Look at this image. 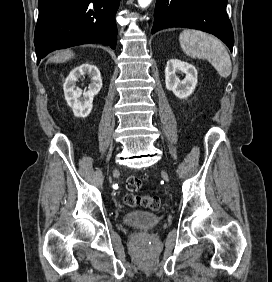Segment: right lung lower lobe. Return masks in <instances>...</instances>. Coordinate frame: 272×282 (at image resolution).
<instances>
[{
    "instance_id": "obj_1",
    "label": "right lung lower lobe",
    "mask_w": 272,
    "mask_h": 282,
    "mask_svg": "<svg viewBox=\"0 0 272 282\" xmlns=\"http://www.w3.org/2000/svg\"><path fill=\"white\" fill-rule=\"evenodd\" d=\"M120 0H39L34 34L37 64L56 49L101 43L115 49Z\"/></svg>"
}]
</instances>
